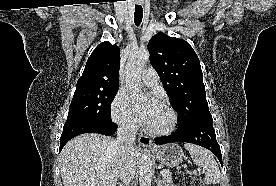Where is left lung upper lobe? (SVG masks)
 Masks as SVG:
<instances>
[{"mask_svg": "<svg viewBox=\"0 0 276 186\" xmlns=\"http://www.w3.org/2000/svg\"><path fill=\"white\" fill-rule=\"evenodd\" d=\"M148 50L150 62L171 99V105L180 115L178 128L212 118L200 61L190 44L159 32L150 39Z\"/></svg>", "mask_w": 276, "mask_h": 186, "instance_id": "1", "label": "left lung upper lobe"}]
</instances>
